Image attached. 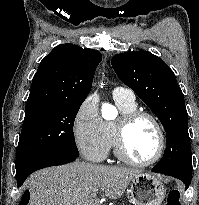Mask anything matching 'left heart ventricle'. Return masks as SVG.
Masks as SVG:
<instances>
[{"label":"left heart ventricle","mask_w":199,"mask_h":205,"mask_svg":"<svg viewBox=\"0 0 199 205\" xmlns=\"http://www.w3.org/2000/svg\"><path fill=\"white\" fill-rule=\"evenodd\" d=\"M125 148L134 160L151 159L158 148V132L154 124L148 119L135 121L126 131Z\"/></svg>","instance_id":"b2bd125f"}]
</instances>
